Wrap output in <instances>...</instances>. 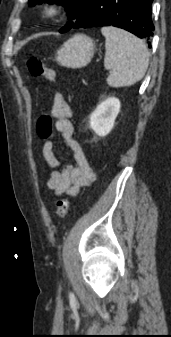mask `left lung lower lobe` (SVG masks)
<instances>
[{"instance_id": "left-lung-lower-lobe-1", "label": "left lung lower lobe", "mask_w": 171, "mask_h": 337, "mask_svg": "<svg viewBox=\"0 0 171 337\" xmlns=\"http://www.w3.org/2000/svg\"><path fill=\"white\" fill-rule=\"evenodd\" d=\"M153 0H87L72 28L115 26L140 38L153 36L151 20ZM149 47H151L149 45Z\"/></svg>"}]
</instances>
